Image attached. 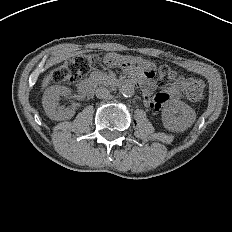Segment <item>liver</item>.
Masks as SVG:
<instances>
[{"instance_id":"6515ba94","label":"liver","mask_w":232,"mask_h":232,"mask_svg":"<svg viewBox=\"0 0 232 232\" xmlns=\"http://www.w3.org/2000/svg\"><path fill=\"white\" fill-rule=\"evenodd\" d=\"M51 79H52V74L46 76L42 81V87L45 88L46 86H48Z\"/></svg>"}]
</instances>
